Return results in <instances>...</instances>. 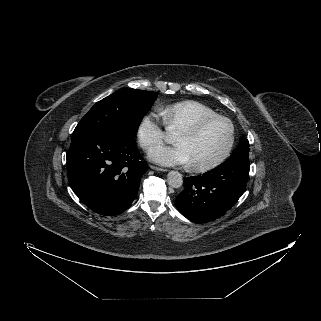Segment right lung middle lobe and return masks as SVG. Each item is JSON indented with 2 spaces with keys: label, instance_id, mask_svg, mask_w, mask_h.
Listing matches in <instances>:
<instances>
[{
  "label": "right lung middle lobe",
  "instance_id": "obj_1",
  "mask_svg": "<svg viewBox=\"0 0 321 321\" xmlns=\"http://www.w3.org/2000/svg\"><path fill=\"white\" fill-rule=\"evenodd\" d=\"M157 94L131 88L120 89L97 102L76 126L73 135L121 133L135 138L139 124Z\"/></svg>",
  "mask_w": 321,
  "mask_h": 321
}]
</instances>
